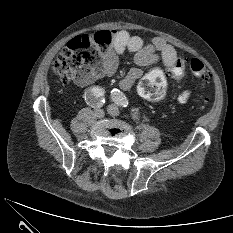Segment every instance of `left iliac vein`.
<instances>
[{
    "mask_svg": "<svg viewBox=\"0 0 233 233\" xmlns=\"http://www.w3.org/2000/svg\"><path fill=\"white\" fill-rule=\"evenodd\" d=\"M107 111L111 116H114V117L120 114L119 108L114 104L109 105L107 107Z\"/></svg>",
    "mask_w": 233,
    "mask_h": 233,
    "instance_id": "obj_1",
    "label": "left iliac vein"
}]
</instances>
